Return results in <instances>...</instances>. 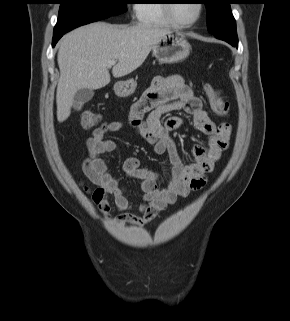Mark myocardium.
<instances>
[{
    "label": "myocardium",
    "instance_id": "obj_1",
    "mask_svg": "<svg viewBox=\"0 0 290 321\" xmlns=\"http://www.w3.org/2000/svg\"><path fill=\"white\" fill-rule=\"evenodd\" d=\"M172 1L173 0H165L164 10H165L166 16L168 17V19L171 21V23L173 25L180 27V28H189V27L195 25L200 20L202 14H203V9H204V5H203V3H201V1H196L197 9H198L197 15L190 22H181L178 19H176V17L173 14L174 3Z\"/></svg>",
    "mask_w": 290,
    "mask_h": 321
}]
</instances>
